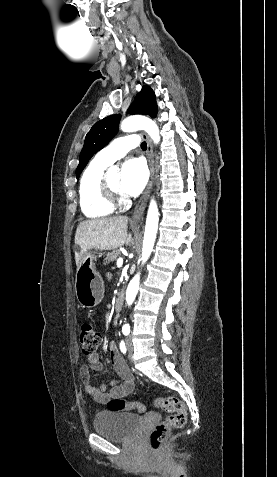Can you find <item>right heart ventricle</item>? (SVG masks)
Segmentation results:
<instances>
[{
	"instance_id": "right-heart-ventricle-1",
	"label": "right heart ventricle",
	"mask_w": 277,
	"mask_h": 477,
	"mask_svg": "<svg viewBox=\"0 0 277 477\" xmlns=\"http://www.w3.org/2000/svg\"><path fill=\"white\" fill-rule=\"evenodd\" d=\"M108 165L94 159L84 170L79 183V203L83 214L88 218H101L110 215L114 207L107 204L99 193V184Z\"/></svg>"
}]
</instances>
